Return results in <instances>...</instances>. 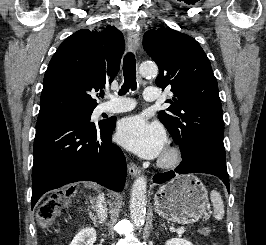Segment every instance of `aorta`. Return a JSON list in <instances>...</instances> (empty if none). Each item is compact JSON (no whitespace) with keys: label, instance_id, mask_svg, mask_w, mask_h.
<instances>
[{"label":"aorta","instance_id":"1","mask_svg":"<svg viewBox=\"0 0 266 245\" xmlns=\"http://www.w3.org/2000/svg\"><path fill=\"white\" fill-rule=\"evenodd\" d=\"M158 72V68L156 64L153 66H145V64H141L140 66V74L142 76H156ZM146 193H147V181L142 175V177H138L136 181H134L131 189L130 195V215L131 219L135 225V227H142L145 221L146 215Z\"/></svg>","mask_w":266,"mask_h":245}]
</instances>
